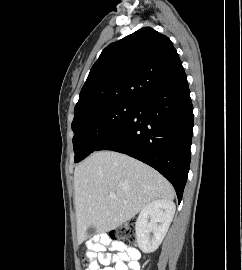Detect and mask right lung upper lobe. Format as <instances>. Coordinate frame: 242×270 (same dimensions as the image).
Masks as SVG:
<instances>
[{"mask_svg":"<svg viewBox=\"0 0 242 270\" xmlns=\"http://www.w3.org/2000/svg\"><path fill=\"white\" fill-rule=\"evenodd\" d=\"M182 68L170 39L144 27L108 45L92 66L74 115L118 100H138Z\"/></svg>","mask_w":242,"mask_h":270,"instance_id":"right-lung-upper-lobe-1","label":"right lung upper lobe"}]
</instances>
